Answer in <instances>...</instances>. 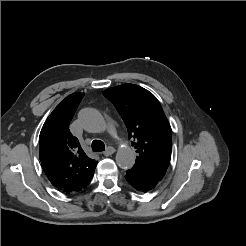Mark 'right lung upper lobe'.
I'll return each mask as SVG.
<instances>
[{"label":"right lung upper lobe","instance_id":"cb5924a9","mask_svg":"<svg viewBox=\"0 0 246 246\" xmlns=\"http://www.w3.org/2000/svg\"><path fill=\"white\" fill-rule=\"evenodd\" d=\"M84 96H67L49 115L39 136L42 168L53 186L69 194L79 192L91 181L97 162L84 153L69 124Z\"/></svg>","mask_w":246,"mask_h":246}]
</instances>
